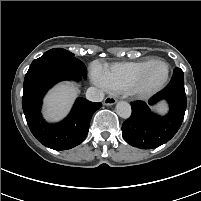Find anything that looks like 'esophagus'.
Returning a JSON list of instances; mask_svg holds the SVG:
<instances>
[{"label":"esophagus","instance_id":"obj_1","mask_svg":"<svg viewBox=\"0 0 201 201\" xmlns=\"http://www.w3.org/2000/svg\"><path fill=\"white\" fill-rule=\"evenodd\" d=\"M116 99L114 97L108 96L104 99V105L110 106L116 103Z\"/></svg>","mask_w":201,"mask_h":201}]
</instances>
